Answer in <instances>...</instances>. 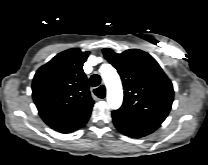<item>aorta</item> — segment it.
I'll return each instance as SVG.
<instances>
[{
  "instance_id": "obj_1",
  "label": "aorta",
  "mask_w": 208,
  "mask_h": 165,
  "mask_svg": "<svg viewBox=\"0 0 208 165\" xmlns=\"http://www.w3.org/2000/svg\"><path fill=\"white\" fill-rule=\"evenodd\" d=\"M102 78L107 88V102L111 109H118L123 100V89L117 71L109 64L100 68Z\"/></svg>"
}]
</instances>
